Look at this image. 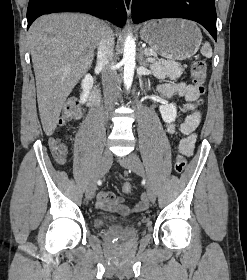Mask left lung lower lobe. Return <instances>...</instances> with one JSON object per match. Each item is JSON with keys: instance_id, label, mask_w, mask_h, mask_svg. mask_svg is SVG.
<instances>
[{"instance_id": "1", "label": "left lung lower lobe", "mask_w": 247, "mask_h": 280, "mask_svg": "<svg viewBox=\"0 0 247 280\" xmlns=\"http://www.w3.org/2000/svg\"><path fill=\"white\" fill-rule=\"evenodd\" d=\"M177 17L203 25L217 40L214 0H133L132 19L139 23L149 19Z\"/></svg>"}]
</instances>
